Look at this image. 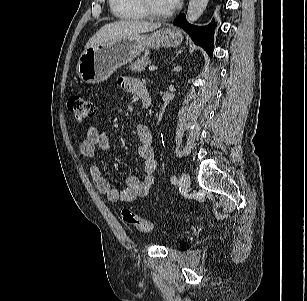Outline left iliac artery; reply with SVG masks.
<instances>
[{
    "instance_id": "1",
    "label": "left iliac artery",
    "mask_w": 307,
    "mask_h": 301,
    "mask_svg": "<svg viewBox=\"0 0 307 301\" xmlns=\"http://www.w3.org/2000/svg\"><path fill=\"white\" fill-rule=\"evenodd\" d=\"M171 182H172L173 184H177L178 179H177V177H176L175 175L171 176Z\"/></svg>"
}]
</instances>
